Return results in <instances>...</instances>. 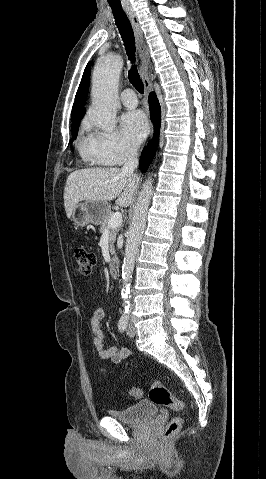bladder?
<instances>
[{
	"label": "bladder",
	"instance_id": "bladder-1",
	"mask_svg": "<svg viewBox=\"0 0 266 479\" xmlns=\"http://www.w3.org/2000/svg\"><path fill=\"white\" fill-rule=\"evenodd\" d=\"M109 416L126 424H140L157 414L156 404L152 401H140L121 410H109Z\"/></svg>",
	"mask_w": 266,
	"mask_h": 479
}]
</instances>
